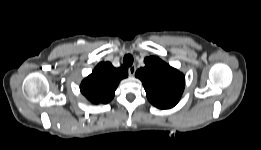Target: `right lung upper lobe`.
I'll use <instances>...</instances> for the list:
<instances>
[{
	"label": "right lung upper lobe",
	"instance_id": "cb5924a9",
	"mask_svg": "<svg viewBox=\"0 0 261 150\" xmlns=\"http://www.w3.org/2000/svg\"><path fill=\"white\" fill-rule=\"evenodd\" d=\"M128 76L122 68H114L109 62L99 63L93 72L85 78L80 90L93 103H108L121 79Z\"/></svg>",
	"mask_w": 261,
	"mask_h": 150
}]
</instances>
